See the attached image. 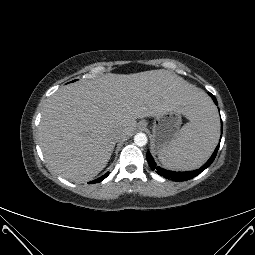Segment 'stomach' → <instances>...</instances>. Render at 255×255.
<instances>
[{
	"label": "stomach",
	"instance_id": "obj_1",
	"mask_svg": "<svg viewBox=\"0 0 255 255\" xmlns=\"http://www.w3.org/2000/svg\"><path fill=\"white\" fill-rule=\"evenodd\" d=\"M182 123V114L174 109H168L153 119L152 126V149L159 152L160 149L169 145V143L179 133Z\"/></svg>",
	"mask_w": 255,
	"mask_h": 255
}]
</instances>
